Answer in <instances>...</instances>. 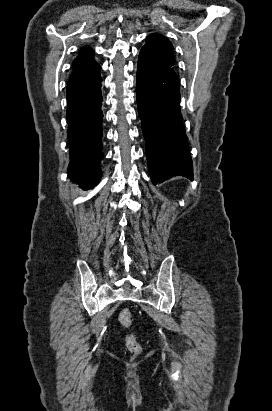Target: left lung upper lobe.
Masks as SVG:
<instances>
[{
	"instance_id": "1",
	"label": "left lung upper lobe",
	"mask_w": 272,
	"mask_h": 411,
	"mask_svg": "<svg viewBox=\"0 0 272 411\" xmlns=\"http://www.w3.org/2000/svg\"><path fill=\"white\" fill-rule=\"evenodd\" d=\"M143 50L151 53L156 59L175 71V57L172 44L161 34L154 33L146 38Z\"/></svg>"
}]
</instances>
